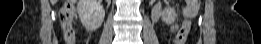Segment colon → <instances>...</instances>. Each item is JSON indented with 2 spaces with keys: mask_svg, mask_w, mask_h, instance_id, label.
Wrapping results in <instances>:
<instances>
[{
  "mask_svg": "<svg viewBox=\"0 0 261 44\" xmlns=\"http://www.w3.org/2000/svg\"><path fill=\"white\" fill-rule=\"evenodd\" d=\"M187 4L190 5L192 9L196 8L199 6L200 1L199 0H187L185 1ZM72 12V9L68 7L67 9H63V17L65 21L69 20L70 14ZM191 16L187 15L182 27L180 28L179 32L177 33L176 37L174 38V44H184L186 41L187 35L190 31L191 28Z\"/></svg>",
  "mask_w": 261,
  "mask_h": 44,
  "instance_id": "5ec220e1",
  "label": "colon"
}]
</instances>
